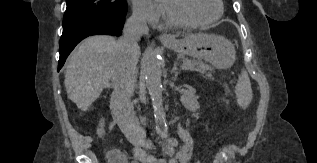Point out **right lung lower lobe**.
Wrapping results in <instances>:
<instances>
[{"label": "right lung lower lobe", "mask_w": 317, "mask_h": 163, "mask_svg": "<svg viewBox=\"0 0 317 163\" xmlns=\"http://www.w3.org/2000/svg\"><path fill=\"white\" fill-rule=\"evenodd\" d=\"M125 15H101L63 29L60 39L58 71L74 47L85 37L95 34L120 35Z\"/></svg>", "instance_id": "98d812e1"}]
</instances>
